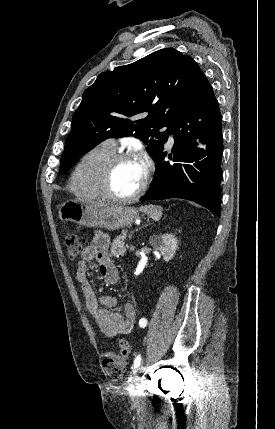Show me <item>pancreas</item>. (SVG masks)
<instances>
[{
  "label": "pancreas",
  "mask_w": 275,
  "mask_h": 429,
  "mask_svg": "<svg viewBox=\"0 0 275 429\" xmlns=\"http://www.w3.org/2000/svg\"><path fill=\"white\" fill-rule=\"evenodd\" d=\"M123 236H119L117 240H115L110 248L111 255L119 257L124 256L126 254V247L124 245Z\"/></svg>",
  "instance_id": "cf45deb5"
}]
</instances>
